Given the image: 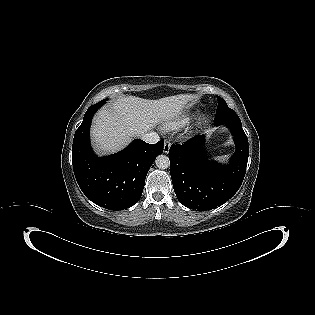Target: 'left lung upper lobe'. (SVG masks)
Segmentation results:
<instances>
[{
    "label": "left lung upper lobe",
    "mask_w": 315,
    "mask_h": 315,
    "mask_svg": "<svg viewBox=\"0 0 315 315\" xmlns=\"http://www.w3.org/2000/svg\"><path fill=\"white\" fill-rule=\"evenodd\" d=\"M218 99V107L216 111V116L214 123L216 126L222 125V124H229V123H241L238 115L230 109L226 102L219 96H217Z\"/></svg>",
    "instance_id": "obj_1"
}]
</instances>
